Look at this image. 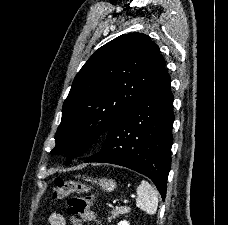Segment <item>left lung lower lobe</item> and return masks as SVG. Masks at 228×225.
<instances>
[{"label":"left lung lower lobe","instance_id":"left-lung-lower-lobe-1","mask_svg":"<svg viewBox=\"0 0 228 225\" xmlns=\"http://www.w3.org/2000/svg\"><path fill=\"white\" fill-rule=\"evenodd\" d=\"M173 94L164 68L156 82L107 131L101 150L84 162L111 163L149 177L163 200L171 167Z\"/></svg>","mask_w":228,"mask_h":225}]
</instances>
